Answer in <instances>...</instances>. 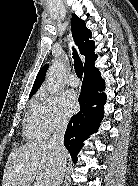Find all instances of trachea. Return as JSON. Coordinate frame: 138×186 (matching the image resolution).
<instances>
[{
    "mask_svg": "<svg viewBox=\"0 0 138 186\" xmlns=\"http://www.w3.org/2000/svg\"><path fill=\"white\" fill-rule=\"evenodd\" d=\"M73 59H74V69L77 74V76L82 79L84 67L83 63L81 62L80 58L78 57V54L76 50L73 48Z\"/></svg>",
    "mask_w": 138,
    "mask_h": 186,
    "instance_id": "1",
    "label": "trachea"
}]
</instances>
